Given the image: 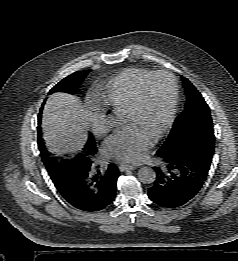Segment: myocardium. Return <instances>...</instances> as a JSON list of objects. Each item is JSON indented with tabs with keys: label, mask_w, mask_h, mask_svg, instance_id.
I'll list each match as a JSON object with an SVG mask.
<instances>
[{
	"label": "myocardium",
	"mask_w": 238,
	"mask_h": 261,
	"mask_svg": "<svg viewBox=\"0 0 238 261\" xmlns=\"http://www.w3.org/2000/svg\"><path fill=\"white\" fill-rule=\"evenodd\" d=\"M158 76H165V77H167L170 80L171 87H172V97H171V104H170V109H169L167 118H166L164 124L162 125V127L154 135V138H153L154 141H157L161 137H163V135L172 126V124L174 122V119H175V116H176L178 102H179V86H178V82H177V79H176L175 75L173 73H171L170 71H167V70L153 71L150 74H148L139 83V85H138V87L136 89V93H135L133 102H132V104L130 105V107L128 108V110L126 112V113L137 112L141 108L142 102H143V97H144V92H145V88H146L147 84L153 78L158 77Z\"/></svg>",
	"instance_id": "1"
}]
</instances>
